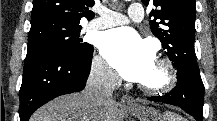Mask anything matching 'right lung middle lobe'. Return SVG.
Masks as SVG:
<instances>
[{
    "instance_id": "1",
    "label": "right lung middle lobe",
    "mask_w": 217,
    "mask_h": 121,
    "mask_svg": "<svg viewBox=\"0 0 217 121\" xmlns=\"http://www.w3.org/2000/svg\"><path fill=\"white\" fill-rule=\"evenodd\" d=\"M81 26L54 19L31 23L27 56L39 53H57L76 58L85 57L93 48L79 38Z\"/></svg>"
}]
</instances>
